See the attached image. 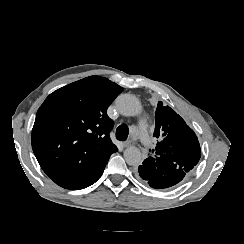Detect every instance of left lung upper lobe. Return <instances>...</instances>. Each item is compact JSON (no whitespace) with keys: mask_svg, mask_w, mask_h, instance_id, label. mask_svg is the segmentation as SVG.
Returning a JSON list of instances; mask_svg holds the SVG:
<instances>
[{"mask_svg":"<svg viewBox=\"0 0 244 244\" xmlns=\"http://www.w3.org/2000/svg\"><path fill=\"white\" fill-rule=\"evenodd\" d=\"M154 137L159 139L153 157L170 161L174 168L188 173L198 163L201 150L194 131L169 106L158 102L155 113Z\"/></svg>","mask_w":244,"mask_h":244,"instance_id":"left-lung-upper-lobe-1","label":"left lung upper lobe"}]
</instances>
